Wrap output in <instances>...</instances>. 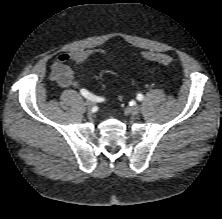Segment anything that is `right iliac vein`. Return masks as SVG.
Masks as SVG:
<instances>
[{"mask_svg": "<svg viewBox=\"0 0 222 219\" xmlns=\"http://www.w3.org/2000/svg\"><path fill=\"white\" fill-rule=\"evenodd\" d=\"M85 105L88 107V108H92L94 106V102L92 100H86L85 101Z\"/></svg>", "mask_w": 222, "mask_h": 219, "instance_id": "right-iliac-vein-1", "label": "right iliac vein"}]
</instances>
